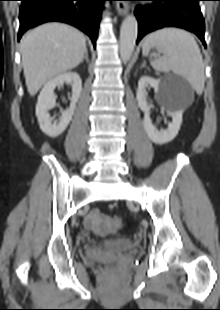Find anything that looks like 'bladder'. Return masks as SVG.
Listing matches in <instances>:
<instances>
[{
    "label": "bladder",
    "mask_w": 220,
    "mask_h": 310,
    "mask_svg": "<svg viewBox=\"0 0 220 310\" xmlns=\"http://www.w3.org/2000/svg\"><path fill=\"white\" fill-rule=\"evenodd\" d=\"M134 242L130 239H123L113 243H106L104 248L113 253H124L134 248Z\"/></svg>",
    "instance_id": "31cf9c89"
}]
</instances>
